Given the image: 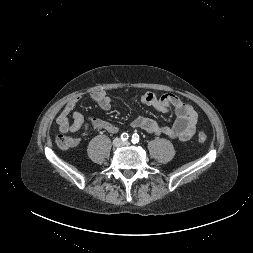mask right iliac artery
<instances>
[{"label": "right iliac artery", "instance_id": "1", "mask_svg": "<svg viewBox=\"0 0 253 253\" xmlns=\"http://www.w3.org/2000/svg\"><path fill=\"white\" fill-rule=\"evenodd\" d=\"M128 138H129V135H128L127 133H123V134L121 135V139H122L123 141H126Z\"/></svg>", "mask_w": 253, "mask_h": 253}]
</instances>
